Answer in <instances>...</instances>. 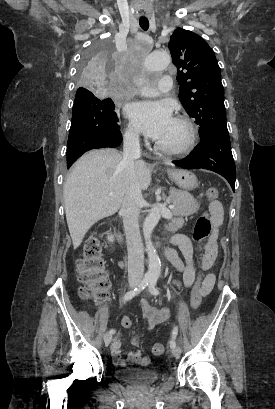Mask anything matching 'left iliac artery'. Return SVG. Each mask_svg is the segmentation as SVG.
Masks as SVG:
<instances>
[{
	"instance_id": "44dca946",
	"label": "left iliac artery",
	"mask_w": 275,
	"mask_h": 409,
	"mask_svg": "<svg viewBox=\"0 0 275 409\" xmlns=\"http://www.w3.org/2000/svg\"><path fill=\"white\" fill-rule=\"evenodd\" d=\"M156 282H157V277H153L151 279L150 283H149V286H148L150 293L153 294V295H158L159 294V291L156 288ZM177 334H178V327L176 326L173 329L172 338H171V340L169 342L171 348L176 347V336H177Z\"/></svg>"
}]
</instances>
